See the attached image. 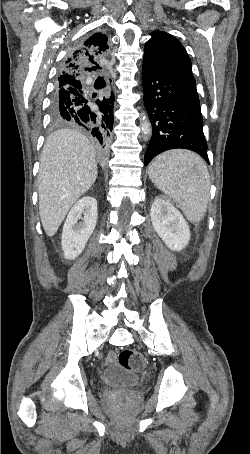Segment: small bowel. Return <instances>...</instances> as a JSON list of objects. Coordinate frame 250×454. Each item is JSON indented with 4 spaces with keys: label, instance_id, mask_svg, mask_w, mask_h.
<instances>
[{
    "label": "small bowel",
    "instance_id": "obj_1",
    "mask_svg": "<svg viewBox=\"0 0 250 454\" xmlns=\"http://www.w3.org/2000/svg\"><path fill=\"white\" fill-rule=\"evenodd\" d=\"M109 360H113V355H110V356H109Z\"/></svg>",
    "mask_w": 250,
    "mask_h": 454
}]
</instances>
